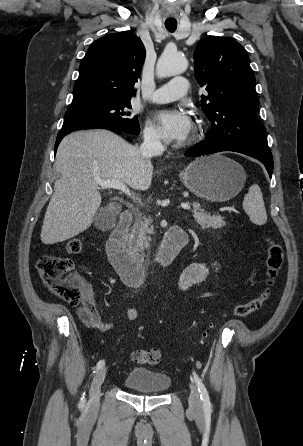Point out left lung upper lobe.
<instances>
[{"instance_id":"obj_1","label":"left lung upper lobe","mask_w":303,"mask_h":446,"mask_svg":"<svg viewBox=\"0 0 303 446\" xmlns=\"http://www.w3.org/2000/svg\"><path fill=\"white\" fill-rule=\"evenodd\" d=\"M244 48L230 37L208 36L194 52L195 77L208 92L201 107L211 121L208 143H237L269 149L257 118L255 76Z\"/></svg>"}]
</instances>
